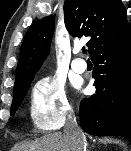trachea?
I'll use <instances>...</instances> for the list:
<instances>
[{
    "label": "trachea",
    "instance_id": "trachea-1",
    "mask_svg": "<svg viewBox=\"0 0 131 151\" xmlns=\"http://www.w3.org/2000/svg\"><path fill=\"white\" fill-rule=\"evenodd\" d=\"M82 52H83L84 54H86V53H87V50H86L85 48H83V49H82Z\"/></svg>",
    "mask_w": 131,
    "mask_h": 151
}]
</instances>
